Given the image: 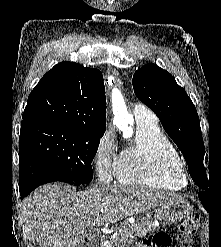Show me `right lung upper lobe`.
Returning <instances> with one entry per match:
<instances>
[{
  "label": "right lung upper lobe",
  "mask_w": 221,
  "mask_h": 247,
  "mask_svg": "<svg viewBox=\"0 0 221 247\" xmlns=\"http://www.w3.org/2000/svg\"><path fill=\"white\" fill-rule=\"evenodd\" d=\"M21 122L28 127L73 125L104 134L106 98L102 73L63 61L30 93Z\"/></svg>",
  "instance_id": "obj_1"
}]
</instances>
